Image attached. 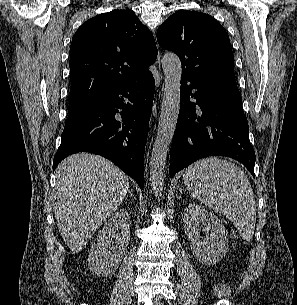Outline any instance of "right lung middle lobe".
Instances as JSON below:
<instances>
[{
    "label": "right lung middle lobe",
    "instance_id": "right-lung-middle-lobe-1",
    "mask_svg": "<svg viewBox=\"0 0 297 305\" xmlns=\"http://www.w3.org/2000/svg\"><path fill=\"white\" fill-rule=\"evenodd\" d=\"M90 101L91 100L81 101V102H77V103H71V106L69 108V113H72V112L80 109L84 105L88 104Z\"/></svg>",
    "mask_w": 297,
    "mask_h": 305
}]
</instances>
